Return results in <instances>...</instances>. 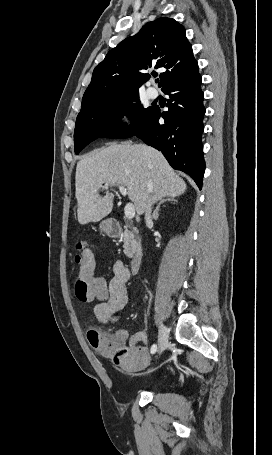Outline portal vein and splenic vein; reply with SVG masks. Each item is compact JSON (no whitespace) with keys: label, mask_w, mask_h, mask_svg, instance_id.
<instances>
[{"label":"portal vein and splenic vein","mask_w":272,"mask_h":455,"mask_svg":"<svg viewBox=\"0 0 272 455\" xmlns=\"http://www.w3.org/2000/svg\"><path fill=\"white\" fill-rule=\"evenodd\" d=\"M109 183H105V187H108ZM119 190L123 196L127 195V189L124 186H119ZM125 217L128 219H132L135 216V208L132 203H127L124 208Z\"/></svg>","instance_id":"portal-vein-and-splenic-vein-1"}]
</instances>
